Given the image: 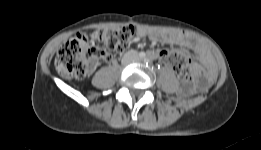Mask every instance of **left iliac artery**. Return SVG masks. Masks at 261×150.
I'll return each mask as SVG.
<instances>
[{
    "instance_id": "44dca946",
    "label": "left iliac artery",
    "mask_w": 261,
    "mask_h": 150,
    "mask_svg": "<svg viewBox=\"0 0 261 150\" xmlns=\"http://www.w3.org/2000/svg\"><path fill=\"white\" fill-rule=\"evenodd\" d=\"M146 61H147V63H148V62H150V59H147Z\"/></svg>"
}]
</instances>
